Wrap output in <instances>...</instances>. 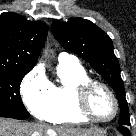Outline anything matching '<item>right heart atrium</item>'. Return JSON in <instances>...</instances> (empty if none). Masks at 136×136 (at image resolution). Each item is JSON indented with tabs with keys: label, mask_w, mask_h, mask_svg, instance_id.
Returning a JSON list of instances; mask_svg holds the SVG:
<instances>
[{
	"label": "right heart atrium",
	"mask_w": 136,
	"mask_h": 136,
	"mask_svg": "<svg viewBox=\"0 0 136 136\" xmlns=\"http://www.w3.org/2000/svg\"><path fill=\"white\" fill-rule=\"evenodd\" d=\"M20 93L26 108L37 118L43 119L53 104L52 84L37 68L24 77Z\"/></svg>",
	"instance_id": "d8ad5b80"
}]
</instances>
